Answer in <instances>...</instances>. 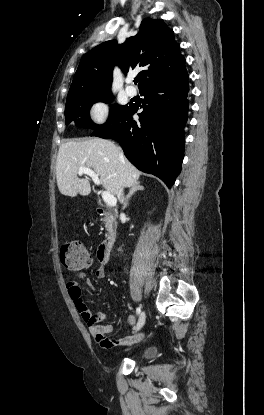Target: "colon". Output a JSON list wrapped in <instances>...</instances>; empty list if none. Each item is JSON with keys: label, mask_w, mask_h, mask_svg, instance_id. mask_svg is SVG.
I'll use <instances>...</instances> for the list:
<instances>
[{"label": "colon", "mask_w": 264, "mask_h": 415, "mask_svg": "<svg viewBox=\"0 0 264 415\" xmlns=\"http://www.w3.org/2000/svg\"><path fill=\"white\" fill-rule=\"evenodd\" d=\"M59 258L61 265L69 271L85 267L90 263V256L82 244L77 241L64 242Z\"/></svg>", "instance_id": "1"}]
</instances>
